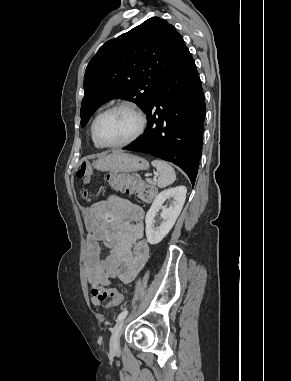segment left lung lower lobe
Segmentation results:
<instances>
[{"mask_svg": "<svg viewBox=\"0 0 291 381\" xmlns=\"http://www.w3.org/2000/svg\"><path fill=\"white\" fill-rule=\"evenodd\" d=\"M144 112L148 118L145 133L123 149L176 164L194 185L202 153L205 99L189 50L158 85Z\"/></svg>", "mask_w": 291, "mask_h": 381, "instance_id": "obj_1", "label": "left lung lower lobe"}]
</instances>
